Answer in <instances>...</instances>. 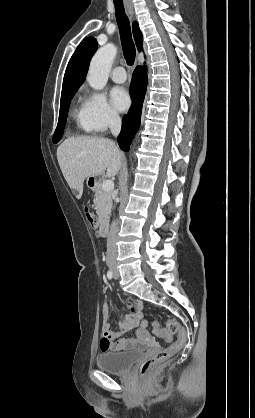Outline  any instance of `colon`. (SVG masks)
Listing matches in <instances>:
<instances>
[{"label": "colon", "instance_id": "1", "mask_svg": "<svg viewBox=\"0 0 255 418\" xmlns=\"http://www.w3.org/2000/svg\"><path fill=\"white\" fill-rule=\"evenodd\" d=\"M84 214L87 222L93 228L96 227V219L94 213L87 207L84 209ZM154 333L166 341H171L173 335H176V340L173 341L167 348L159 351L155 355L145 358L140 361L137 366V373L140 377L148 376L159 364L170 358L173 354L184 347L187 342L188 334L184 327L173 318L165 320V327H161L158 322L153 323Z\"/></svg>", "mask_w": 255, "mask_h": 418}]
</instances>
